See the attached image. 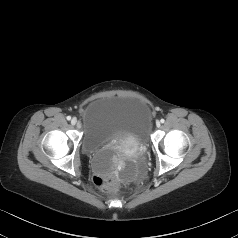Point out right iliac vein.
Instances as JSON below:
<instances>
[{"label": "right iliac vein", "instance_id": "obj_1", "mask_svg": "<svg viewBox=\"0 0 238 238\" xmlns=\"http://www.w3.org/2000/svg\"><path fill=\"white\" fill-rule=\"evenodd\" d=\"M77 123H78L77 119L76 118H72L71 124L72 125H76Z\"/></svg>", "mask_w": 238, "mask_h": 238}]
</instances>
